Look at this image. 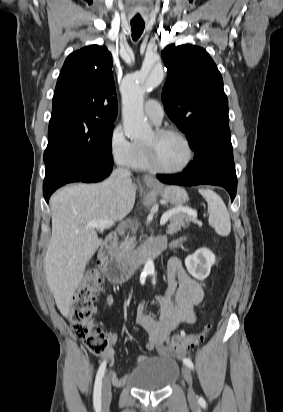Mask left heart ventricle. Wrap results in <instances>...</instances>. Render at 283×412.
I'll return each mask as SVG.
<instances>
[{"mask_svg": "<svg viewBox=\"0 0 283 412\" xmlns=\"http://www.w3.org/2000/svg\"><path fill=\"white\" fill-rule=\"evenodd\" d=\"M145 143L153 145L156 162L163 168H178L184 164L187 158L185 145L175 136L157 137L153 132Z\"/></svg>", "mask_w": 283, "mask_h": 412, "instance_id": "obj_1", "label": "left heart ventricle"}]
</instances>
